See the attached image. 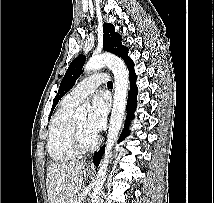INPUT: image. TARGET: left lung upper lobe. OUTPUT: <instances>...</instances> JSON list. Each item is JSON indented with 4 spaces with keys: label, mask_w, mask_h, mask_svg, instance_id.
Returning <instances> with one entry per match:
<instances>
[{
    "label": "left lung upper lobe",
    "mask_w": 214,
    "mask_h": 203,
    "mask_svg": "<svg viewBox=\"0 0 214 203\" xmlns=\"http://www.w3.org/2000/svg\"><path fill=\"white\" fill-rule=\"evenodd\" d=\"M103 50L120 56L125 63L130 59L128 57V48L121 44V36L115 32L112 24L104 23L103 26ZM85 62V56H79L74 59L69 65L65 76L63 77L58 93L53 100L52 114L58 101L74 86L75 81L82 73V68Z\"/></svg>",
    "instance_id": "left-lung-upper-lobe-1"
}]
</instances>
